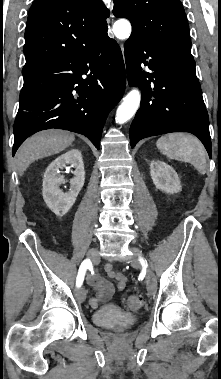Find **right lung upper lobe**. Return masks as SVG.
Wrapping results in <instances>:
<instances>
[{
    "label": "right lung upper lobe",
    "instance_id": "right-lung-upper-lobe-1",
    "mask_svg": "<svg viewBox=\"0 0 221 379\" xmlns=\"http://www.w3.org/2000/svg\"><path fill=\"white\" fill-rule=\"evenodd\" d=\"M108 16L102 0H34L22 73L91 47L107 34Z\"/></svg>",
    "mask_w": 221,
    "mask_h": 379
}]
</instances>
